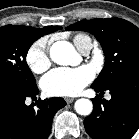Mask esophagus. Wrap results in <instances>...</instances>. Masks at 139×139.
Here are the masks:
<instances>
[{"mask_svg": "<svg viewBox=\"0 0 139 139\" xmlns=\"http://www.w3.org/2000/svg\"><path fill=\"white\" fill-rule=\"evenodd\" d=\"M74 100H75V99H74V98H71V97L65 98V101H66L67 103H72Z\"/></svg>", "mask_w": 139, "mask_h": 139, "instance_id": "34e87169", "label": "esophagus"}]
</instances>
